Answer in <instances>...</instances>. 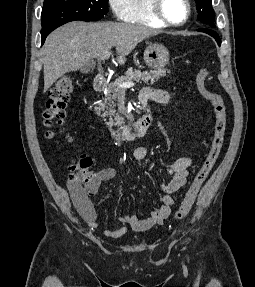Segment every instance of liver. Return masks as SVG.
Wrapping results in <instances>:
<instances>
[{
    "mask_svg": "<svg viewBox=\"0 0 255 287\" xmlns=\"http://www.w3.org/2000/svg\"><path fill=\"white\" fill-rule=\"evenodd\" d=\"M156 34L159 32L152 28L122 22H69L61 26L46 38L41 48L44 92L66 72L84 68L87 62L112 48H116L117 62L122 66L137 44Z\"/></svg>",
    "mask_w": 255,
    "mask_h": 287,
    "instance_id": "6515ba94",
    "label": "liver"
}]
</instances>
